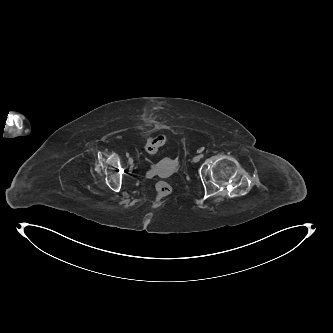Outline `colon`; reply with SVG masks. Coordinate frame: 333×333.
<instances>
[{
	"instance_id": "obj_1",
	"label": "colon",
	"mask_w": 333,
	"mask_h": 333,
	"mask_svg": "<svg viewBox=\"0 0 333 333\" xmlns=\"http://www.w3.org/2000/svg\"><path fill=\"white\" fill-rule=\"evenodd\" d=\"M168 141V138L164 134H158L156 136H152L146 143L145 151L149 155H154L158 149L163 146ZM156 201L161 203L164 199H166L171 193V186L164 182L160 181L156 184Z\"/></svg>"
}]
</instances>
